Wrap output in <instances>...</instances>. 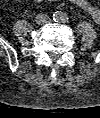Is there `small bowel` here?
Wrapping results in <instances>:
<instances>
[{"instance_id": "c3829d8e", "label": "small bowel", "mask_w": 100, "mask_h": 118, "mask_svg": "<svg viewBox=\"0 0 100 118\" xmlns=\"http://www.w3.org/2000/svg\"><path fill=\"white\" fill-rule=\"evenodd\" d=\"M34 3H40L44 0H31ZM51 2H55L58 0H48ZM76 6L83 9L85 12H87L97 23H100V9L96 7L94 4H92L89 0H69Z\"/></svg>"}]
</instances>
